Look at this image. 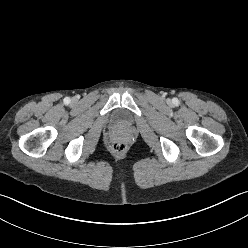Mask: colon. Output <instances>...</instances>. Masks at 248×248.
Here are the masks:
<instances>
[{
    "label": "colon",
    "mask_w": 248,
    "mask_h": 248,
    "mask_svg": "<svg viewBox=\"0 0 248 248\" xmlns=\"http://www.w3.org/2000/svg\"><path fill=\"white\" fill-rule=\"evenodd\" d=\"M111 150L115 155H122L127 150V144L124 140L117 139L112 143Z\"/></svg>",
    "instance_id": "5ec220e1"
}]
</instances>
